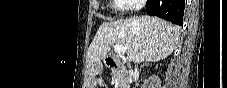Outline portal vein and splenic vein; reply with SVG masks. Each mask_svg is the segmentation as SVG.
<instances>
[{
    "label": "portal vein and splenic vein",
    "instance_id": "1",
    "mask_svg": "<svg viewBox=\"0 0 227 88\" xmlns=\"http://www.w3.org/2000/svg\"><path fill=\"white\" fill-rule=\"evenodd\" d=\"M113 47L118 55H123L126 52V49L121 45L115 44L113 45Z\"/></svg>",
    "mask_w": 227,
    "mask_h": 88
}]
</instances>
